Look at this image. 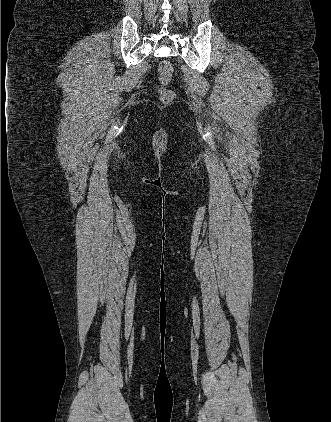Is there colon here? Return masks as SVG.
<instances>
[{"label":"colon","instance_id":"1","mask_svg":"<svg viewBox=\"0 0 331 422\" xmlns=\"http://www.w3.org/2000/svg\"><path fill=\"white\" fill-rule=\"evenodd\" d=\"M158 73H159V81L161 84V87L158 89L159 98L161 102L169 103L175 97L174 92L171 89L166 87V85L168 84L173 74L172 64L168 61L160 62L158 66Z\"/></svg>","mask_w":331,"mask_h":422}]
</instances>
